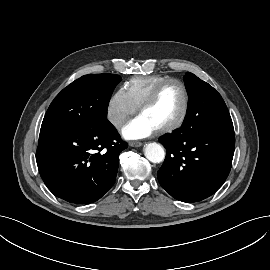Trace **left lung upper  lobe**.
Masks as SVG:
<instances>
[{
  "label": "left lung upper lobe",
  "instance_id": "left-lung-upper-lobe-1",
  "mask_svg": "<svg viewBox=\"0 0 270 270\" xmlns=\"http://www.w3.org/2000/svg\"><path fill=\"white\" fill-rule=\"evenodd\" d=\"M184 81L189 104L182 127L188 125L207 130L234 129L225 102L212 86L190 72L186 73Z\"/></svg>",
  "mask_w": 270,
  "mask_h": 270
}]
</instances>
